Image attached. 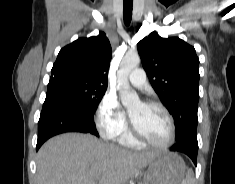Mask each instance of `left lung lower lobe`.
<instances>
[{"label": "left lung lower lobe", "instance_id": "obj_1", "mask_svg": "<svg viewBox=\"0 0 235 184\" xmlns=\"http://www.w3.org/2000/svg\"><path fill=\"white\" fill-rule=\"evenodd\" d=\"M170 150L185 153L192 159L194 164L197 165L198 145L180 142L176 143Z\"/></svg>", "mask_w": 235, "mask_h": 184}]
</instances>
